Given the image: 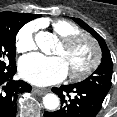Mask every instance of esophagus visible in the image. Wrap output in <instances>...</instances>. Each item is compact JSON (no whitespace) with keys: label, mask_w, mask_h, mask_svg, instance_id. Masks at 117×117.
Instances as JSON below:
<instances>
[{"label":"esophagus","mask_w":117,"mask_h":117,"mask_svg":"<svg viewBox=\"0 0 117 117\" xmlns=\"http://www.w3.org/2000/svg\"><path fill=\"white\" fill-rule=\"evenodd\" d=\"M33 92L36 93L37 95H44L46 94L48 91L46 89H41V88H33Z\"/></svg>","instance_id":"1"}]
</instances>
